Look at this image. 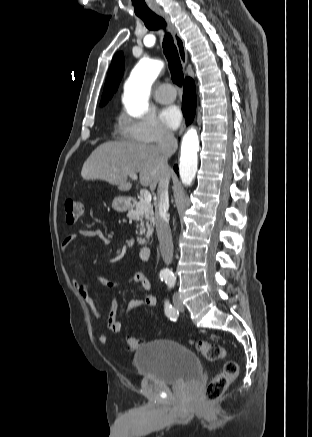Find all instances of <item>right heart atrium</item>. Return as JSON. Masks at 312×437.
<instances>
[{
	"label": "right heart atrium",
	"mask_w": 312,
	"mask_h": 437,
	"mask_svg": "<svg viewBox=\"0 0 312 437\" xmlns=\"http://www.w3.org/2000/svg\"><path fill=\"white\" fill-rule=\"evenodd\" d=\"M118 137L124 141L150 144L172 140L171 132L151 113L140 117L120 114L117 126Z\"/></svg>",
	"instance_id": "1"
}]
</instances>
